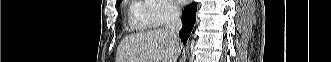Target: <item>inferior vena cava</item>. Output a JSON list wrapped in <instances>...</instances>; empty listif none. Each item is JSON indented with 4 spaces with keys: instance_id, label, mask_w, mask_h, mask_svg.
Returning a JSON list of instances; mask_svg holds the SVG:
<instances>
[{
    "instance_id": "602c4592",
    "label": "inferior vena cava",
    "mask_w": 331,
    "mask_h": 62,
    "mask_svg": "<svg viewBox=\"0 0 331 62\" xmlns=\"http://www.w3.org/2000/svg\"><path fill=\"white\" fill-rule=\"evenodd\" d=\"M181 14L176 6H169L167 16L165 19V31L171 38L177 42L179 41L178 33L182 28Z\"/></svg>"
}]
</instances>
